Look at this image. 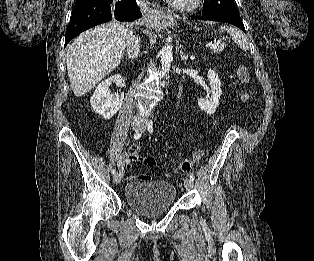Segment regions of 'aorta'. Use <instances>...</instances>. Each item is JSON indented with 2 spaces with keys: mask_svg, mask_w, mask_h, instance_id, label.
Wrapping results in <instances>:
<instances>
[{
  "mask_svg": "<svg viewBox=\"0 0 314 261\" xmlns=\"http://www.w3.org/2000/svg\"><path fill=\"white\" fill-rule=\"evenodd\" d=\"M173 48L171 45L166 44L160 51V60L162 69L167 72L170 69L171 62L173 60Z\"/></svg>",
  "mask_w": 314,
  "mask_h": 261,
  "instance_id": "obj_1",
  "label": "aorta"
}]
</instances>
